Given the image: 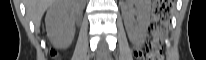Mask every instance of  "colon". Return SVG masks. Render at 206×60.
<instances>
[{
  "label": "colon",
  "mask_w": 206,
  "mask_h": 60,
  "mask_svg": "<svg viewBox=\"0 0 206 60\" xmlns=\"http://www.w3.org/2000/svg\"><path fill=\"white\" fill-rule=\"evenodd\" d=\"M171 0H155L152 8V22L149 28V43L147 51L140 54L145 60H162V39L168 31Z\"/></svg>",
  "instance_id": "5ec220e1"
}]
</instances>
